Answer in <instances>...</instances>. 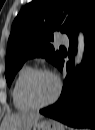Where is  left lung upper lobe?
Listing matches in <instances>:
<instances>
[{
	"label": "left lung upper lobe",
	"mask_w": 95,
	"mask_h": 130,
	"mask_svg": "<svg viewBox=\"0 0 95 130\" xmlns=\"http://www.w3.org/2000/svg\"><path fill=\"white\" fill-rule=\"evenodd\" d=\"M72 18L64 19L62 11ZM95 12L94 0H34L15 18L7 46L5 77L10 86L23 63L32 57H44L57 65L61 54L49 41L53 31L68 37L77 31L86 18Z\"/></svg>",
	"instance_id": "1"
}]
</instances>
